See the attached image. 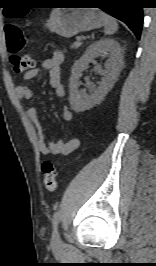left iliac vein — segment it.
<instances>
[{
	"instance_id": "4c4485c4",
	"label": "left iliac vein",
	"mask_w": 156,
	"mask_h": 266,
	"mask_svg": "<svg viewBox=\"0 0 156 266\" xmlns=\"http://www.w3.org/2000/svg\"><path fill=\"white\" fill-rule=\"evenodd\" d=\"M52 245L53 246H60L61 245V238L58 232V229L55 228L52 236Z\"/></svg>"
}]
</instances>
